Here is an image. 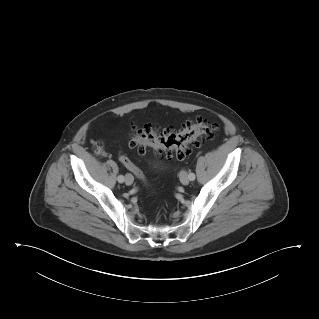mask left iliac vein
I'll use <instances>...</instances> for the list:
<instances>
[{"mask_svg": "<svg viewBox=\"0 0 319 319\" xmlns=\"http://www.w3.org/2000/svg\"><path fill=\"white\" fill-rule=\"evenodd\" d=\"M180 181L183 185H188L189 184V177L186 171H182L180 173Z\"/></svg>", "mask_w": 319, "mask_h": 319, "instance_id": "obj_1", "label": "left iliac vein"}]
</instances>
